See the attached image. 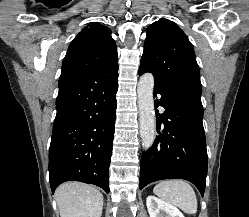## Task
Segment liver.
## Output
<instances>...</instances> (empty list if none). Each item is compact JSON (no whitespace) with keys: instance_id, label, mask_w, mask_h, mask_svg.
Segmentation results:
<instances>
[{"instance_id":"1","label":"liver","mask_w":249,"mask_h":217,"mask_svg":"<svg viewBox=\"0 0 249 217\" xmlns=\"http://www.w3.org/2000/svg\"><path fill=\"white\" fill-rule=\"evenodd\" d=\"M61 217H101L103 195L94 186L67 182L55 192Z\"/></svg>"}]
</instances>
